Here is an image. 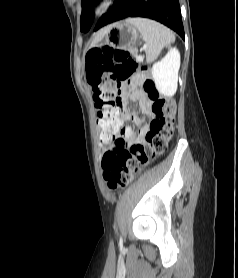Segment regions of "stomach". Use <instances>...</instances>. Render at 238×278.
<instances>
[{
    "instance_id": "0dacf381",
    "label": "stomach",
    "mask_w": 238,
    "mask_h": 278,
    "mask_svg": "<svg viewBox=\"0 0 238 278\" xmlns=\"http://www.w3.org/2000/svg\"><path fill=\"white\" fill-rule=\"evenodd\" d=\"M140 37L139 30L131 23L120 21L106 27V33L100 48L109 46L112 48L132 50Z\"/></svg>"
}]
</instances>
